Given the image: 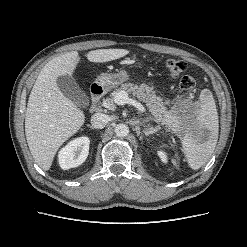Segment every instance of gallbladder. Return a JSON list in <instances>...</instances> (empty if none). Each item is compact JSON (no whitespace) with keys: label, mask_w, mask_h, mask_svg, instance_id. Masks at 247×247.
Segmentation results:
<instances>
[{"label":"gallbladder","mask_w":247,"mask_h":247,"mask_svg":"<svg viewBox=\"0 0 247 247\" xmlns=\"http://www.w3.org/2000/svg\"><path fill=\"white\" fill-rule=\"evenodd\" d=\"M57 86L64 96L70 99L75 105L81 108L89 106V98L86 93L78 86L75 79L66 74L57 78Z\"/></svg>","instance_id":"1"}]
</instances>
